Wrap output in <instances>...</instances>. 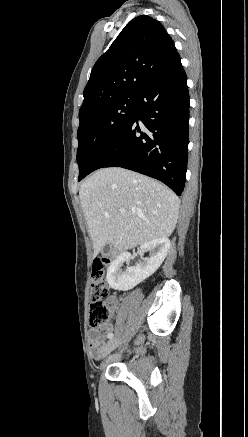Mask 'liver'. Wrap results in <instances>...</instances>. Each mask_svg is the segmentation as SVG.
I'll list each match as a JSON object with an SVG mask.
<instances>
[{"instance_id": "6515ba94", "label": "liver", "mask_w": 248, "mask_h": 437, "mask_svg": "<svg viewBox=\"0 0 248 437\" xmlns=\"http://www.w3.org/2000/svg\"><path fill=\"white\" fill-rule=\"evenodd\" d=\"M79 197L94 256L105 245L124 251L167 238L177 224L179 199L174 192L123 168L97 170L83 182Z\"/></svg>"}]
</instances>
